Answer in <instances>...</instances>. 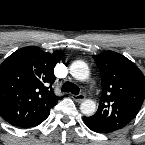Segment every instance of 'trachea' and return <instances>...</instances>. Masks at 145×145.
<instances>
[{"label":"trachea","mask_w":145,"mask_h":145,"mask_svg":"<svg viewBox=\"0 0 145 145\" xmlns=\"http://www.w3.org/2000/svg\"><path fill=\"white\" fill-rule=\"evenodd\" d=\"M62 92H71L72 94H79L80 89L72 82L66 81L62 86Z\"/></svg>","instance_id":"obj_1"}]
</instances>
